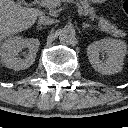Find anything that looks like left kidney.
<instances>
[{
  "label": "left kidney",
  "mask_w": 128,
  "mask_h": 128,
  "mask_svg": "<svg viewBox=\"0 0 128 128\" xmlns=\"http://www.w3.org/2000/svg\"><path fill=\"white\" fill-rule=\"evenodd\" d=\"M126 53V43L118 39L104 38L93 42L87 47V55L92 67L105 75L122 70Z\"/></svg>",
  "instance_id": "left-kidney-1"
}]
</instances>
